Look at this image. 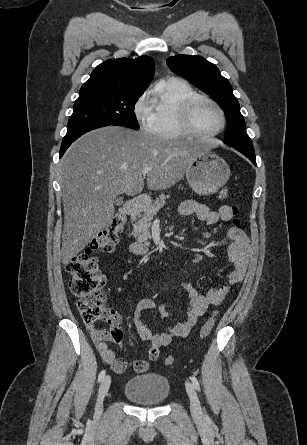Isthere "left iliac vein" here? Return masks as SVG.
Returning a JSON list of instances; mask_svg holds the SVG:
<instances>
[{
	"label": "left iliac vein",
	"instance_id": "4c4485c4",
	"mask_svg": "<svg viewBox=\"0 0 307 445\" xmlns=\"http://www.w3.org/2000/svg\"><path fill=\"white\" fill-rule=\"evenodd\" d=\"M186 391L190 399L191 414L196 420L203 419V412L201 409L200 401L198 399L195 388L191 382H186Z\"/></svg>",
	"mask_w": 307,
	"mask_h": 445
}]
</instances>
